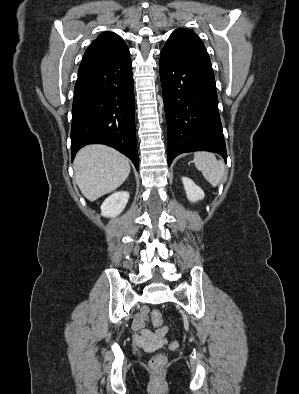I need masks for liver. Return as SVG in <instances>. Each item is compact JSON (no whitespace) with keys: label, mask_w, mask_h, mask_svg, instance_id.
Here are the masks:
<instances>
[{"label":"liver","mask_w":299,"mask_h":394,"mask_svg":"<svg viewBox=\"0 0 299 394\" xmlns=\"http://www.w3.org/2000/svg\"><path fill=\"white\" fill-rule=\"evenodd\" d=\"M73 168L76 183L89 201L117 189L130 173L128 158L104 145L82 148L76 155Z\"/></svg>","instance_id":"obj_1"}]
</instances>
